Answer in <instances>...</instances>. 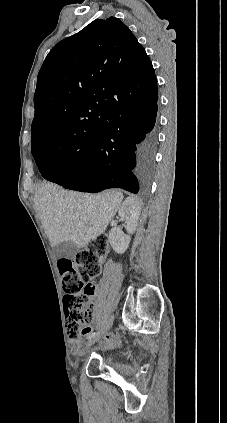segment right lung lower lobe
<instances>
[{
  "label": "right lung lower lobe",
  "instance_id": "right-lung-lower-lobe-1",
  "mask_svg": "<svg viewBox=\"0 0 227 423\" xmlns=\"http://www.w3.org/2000/svg\"><path fill=\"white\" fill-rule=\"evenodd\" d=\"M107 112L109 123L99 132L92 151L75 164L73 171L51 182L91 193L108 188L138 193L147 188L157 145V91L120 101Z\"/></svg>",
  "mask_w": 227,
  "mask_h": 423
}]
</instances>
